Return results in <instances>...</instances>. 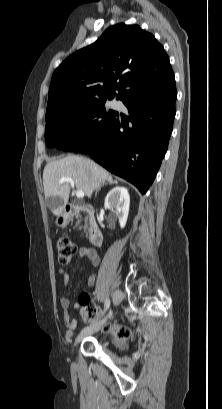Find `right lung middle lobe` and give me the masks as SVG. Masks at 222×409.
Instances as JSON below:
<instances>
[{"mask_svg":"<svg viewBox=\"0 0 222 409\" xmlns=\"http://www.w3.org/2000/svg\"><path fill=\"white\" fill-rule=\"evenodd\" d=\"M104 101L71 104L46 112L45 140L48 147L81 151L101 143L115 117Z\"/></svg>","mask_w":222,"mask_h":409,"instance_id":"1","label":"right lung middle lobe"}]
</instances>
